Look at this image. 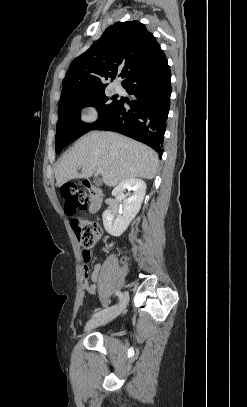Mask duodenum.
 Instances as JSON below:
<instances>
[{
	"mask_svg": "<svg viewBox=\"0 0 247 407\" xmlns=\"http://www.w3.org/2000/svg\"><path fill=\"white\" fill-rule=\"evenodd\" d=\"M81 183L87 189L90 195L89 212H97L101 207L103 201L105 200V193L102 190L98 189L94 182L89 179H82Z\"/></svg>",
	"mask_w": 247,
	"mask_h": 407,
	"instance_id": "obj_1",
	"label": "duodenum"
}]
</instances>
